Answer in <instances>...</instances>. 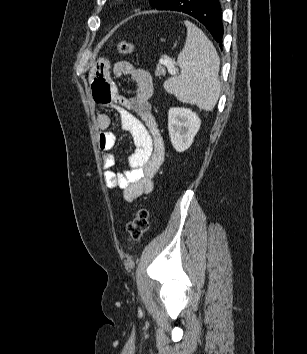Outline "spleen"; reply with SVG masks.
Instances as JSON below:
<instances>
[{
  "label": "spleen",
  "instance_id": "3e777b00",
  "mask_svg": "<svg viewBox=\"0 0 307 354\" xmlns=\"http://www.w3.org/2000/svg\"><path fill=\"white\" fill-rule=\"evenodd\" d=\"M187 38L177 58L181 74L164 83L168 93L183 102L212 110L220 95V59L212 42L194 24L185 21Z\"/></svg>",
  "mask_w": 307,
  "mask_h": 354
}]
</instances>
